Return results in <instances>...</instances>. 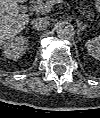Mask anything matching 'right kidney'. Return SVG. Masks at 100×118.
Returning <instances> with one entry per match:
<instances>
[{"label": "right kidney", "instance_id": "obj_1", "mask_svg": "<svg viewBox=\"0 0 100 118\" xmlns=\"http://www.w3.org/2000/svg\"><path fill=\"white\" fill-rule=\"evenodd\" d=\"M4 56L11 60H16L23 56L28 49V39L23 36H17L8 39L3 44Z\"/></svg>", "mask_w": 100, "mask_h": 118}]
</instances>
